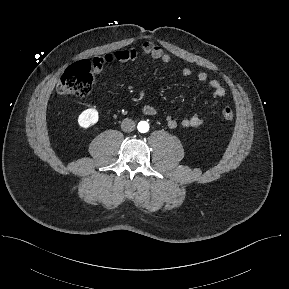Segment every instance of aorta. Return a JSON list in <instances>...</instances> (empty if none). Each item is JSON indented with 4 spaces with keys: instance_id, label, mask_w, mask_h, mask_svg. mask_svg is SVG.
Wrapping results in <instances>:
<instances>
[{
    "instance_id": "1",
    "label": "aorta",
    "mask_w": 289,
    "mask_h": 289,
    "mask_svg": "<svg viewBox=\"0 0 289 289\" xmlns=\"http://www.w3.org/2000/svg\"><path fill=\"white\" fill-rule=\"evenodd\" d=\"M138 130L141 133H145L149 130V124L146 121H141L138 123Z\"/></svg>"
}]
</instances>
